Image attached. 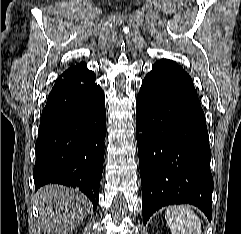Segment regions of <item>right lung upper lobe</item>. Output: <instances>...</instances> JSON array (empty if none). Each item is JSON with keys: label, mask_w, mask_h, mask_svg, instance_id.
I'll return each instance as SVG.
<instances>
[{"label": "right lung upper lobe", "mask_w": 241, "mask_h": 234, "mask_svg": "<svg viewBox=\"0 0 241 234\" xmlns=\"http://www.w3.org/2000/svg\"><path fill=\"white\" fill-rule=\"evenodd\" d=\"M80 64H82V63H78V64H76L75 66H70L69 69H72V68H74V67H76V66H78V65H80ZM69 69H68V70H69Z\"/></svg>", "instance_id": "obj_1"}]
</instances>
